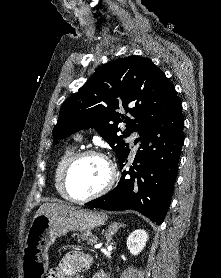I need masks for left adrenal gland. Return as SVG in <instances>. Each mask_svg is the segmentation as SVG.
Segmentation results:
<instances>
[{
	"instance_id": "1",
	"label": "left adrenal gland",
	"mask_w": 221,
	"mask_h": 278,
	"mask_svg": "<svg viewBox=\"0 0 221 278\" xmlns=\"http://www.w3.org/2000/svg\"><path fill=\"white\" fill-rule=\"evenodd\" d=\"M123 226L124 225H119L117 223H114L109 226L108 231H107V237H106V246L109 245L112 236L115 235L117 233V231L119 230V228H121Z\"/></svg>"
}]
</instances>
